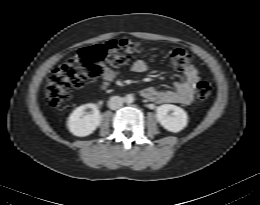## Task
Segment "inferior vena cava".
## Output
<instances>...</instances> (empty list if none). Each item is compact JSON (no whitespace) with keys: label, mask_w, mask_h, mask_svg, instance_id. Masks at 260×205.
Listing matches in <instances>:
<instances>
[{"label":"inferior vena cava","mask_w":260,"mask_h":205,"mask_svg":"<svg viewBox=\"0 0 260 205\" xmlns=\"http://www.w3.org/2000/svg\"><path fill=\"white\" fill-rule=\"evenodd\" d=\"M124 99L120 96H112L108 101V106L110 109L115 110L122 107Z\"/></svg>","instance_id":"inferior-vena-cava-1"}]
</instances>
